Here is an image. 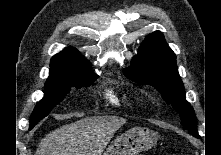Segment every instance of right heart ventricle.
<instances>
[{"label": "right heart ventricle", "mask_w": 221, "mask_h": 155, "mask_svg": "<svg viewBox=\"0 0 221 155\" xmlns=\"http://www.w3.org/2000/svg\"><path fill=\"white\" fill-rule=\"evenodd\" d=\"M106 98L112 104L119 105L120 103L130 101L133 98V96L129 92H124L122 95H118L114 91L108 90L106 93Z\"/></svg>", "instance_id": "e07e8e85"}]
</instances>
